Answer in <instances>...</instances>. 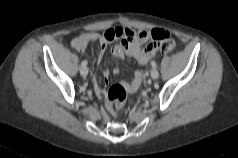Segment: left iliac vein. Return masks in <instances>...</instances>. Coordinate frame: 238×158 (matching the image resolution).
I'll list each match as a JSON object with an SVG mask.
<instances>
[{
  "label": "left iliac vein",
  "mask_w": 238,
  "mask_h": 158,
  "mask_svg": "<svg viewBox=\"0 0 238 158\" xmlns=\"http://www.w3.org/2000/svg\"><path fill=\"white\" fill-rule=\"evenodd\" d=\"M158 77H159V72H158V70L155 69V68L152 69V70H151V78L155 80V79H157Z\"/></svg>",
  "instance_id": "1"
}]
</instances>
